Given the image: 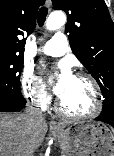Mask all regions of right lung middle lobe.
Instances as JSON below:
<instances>
[{"label":"right lung middle lobe","mask_w":114,"mask_h":156,"mask_svg":"<svg viewBox=\"0 0 114 156\" xmlns=\"http://www.w3.org/2000/svg\"><path fill=\"white\" fill-rule=\"evenodd\" d=\"M23 56H0V98L22 100L20 72Z\"/></svg>","instance_id":"dd1d6c3e"}]
</instances>
